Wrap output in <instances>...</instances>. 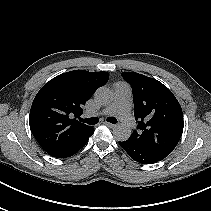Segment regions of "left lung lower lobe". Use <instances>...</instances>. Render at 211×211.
<instances>
[{
	"mask_svg": "<svg viewBox=\"0 0 211 211\" xmlns=\"http://www.w3.org/2000/svg\"><path fill=\"white\" fill-rule=\"evenodd\" d=\"M121 147L128 153V155L135 161L142 164H151L162 160L163 158L157 154L142 148L129 139L126 141L119 142Z\"/></svg>",
	"mask_w": 211,
	"mask_h": 211,
	"instance_id": "1",
	"label": "left lung lower lobe"
}]
</instances>
